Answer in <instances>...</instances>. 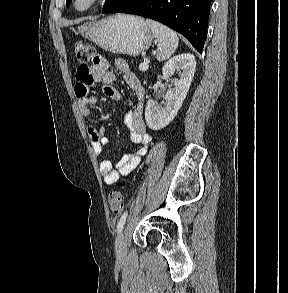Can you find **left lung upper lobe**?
Segmentation results:
<instances>
[{
    "mask_svg": "<svg viewBox=\"0 0 288 293\" xmlns=\"http://www.w3.org/2000/svg\"><path fill=\"white\" fill-rule=\"evenodd\" d=\"M72 0H66V6L69 7ZM114 0H106L103 8L109 6Z\"/></svg>",
    "mask_w": 288,
    "mask_h": 293,
    "instance_id": "obj_1",
    "label": "left lung upper lobe"
}]
</instances>
